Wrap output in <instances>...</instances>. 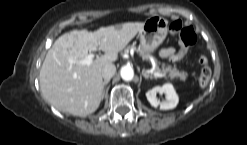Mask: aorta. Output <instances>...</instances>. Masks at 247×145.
<instances>
[{"instance_id":"aorta-1","label":"aorta","mask_w":247,"mask_h":145,"mask_svg":"<svg viewBox=\"0 0 247 145\" xmlns=\"http://www.w3.org/2000/svg\"><path fill=\"white\" fill-rule=\"evenodd\" d=\"M120 75H121L122 79L125 81L132 80L134 77L133 68L131 66H128V65L123 66L120 70Z\"/></svg>"}]
</instances>
